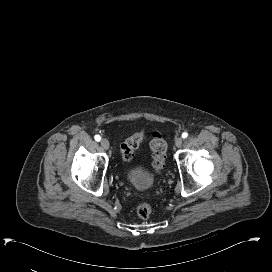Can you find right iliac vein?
<instances>
[{"label": "right iliac vein", "mask_w": 272, "mask_h": 272, "mask_svg": "<svg viewBox=\"0 0 272 272\" xmlns=\"http://www.w3.org/2000/svg\"><path fill=\"white\" fill-rule=\"evenodd\" d=\"M100 145L105 150H108L110 147L109 141L105 138L101 140Z\"/></svg>", "instance_id": "right-iliac-vein-1"}]
</instances>
